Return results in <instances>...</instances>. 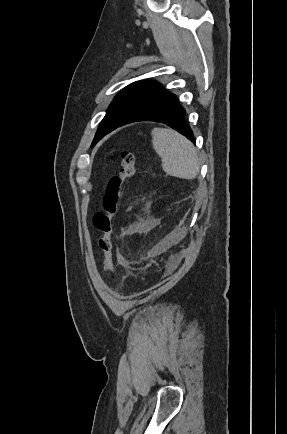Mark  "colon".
<instances>
[{"label":"colon","instance_id":"5ec220e1","mask_svg":"<svg viewBox=\"0 0 287 434\" xmlns=\"http://www.w3.org/2000/svg\"><path fill=\"white\" fill-rule=\"evenodd\" d=\"M135 157L125 151L121 155L120 169L111 177L103 195V210L94 215L93 223L100 232L98 245L103 253V270L109 274L113 269V222L120 210L125 183L135 174Z\"/></svg>","mask_w":287,"mask_h":434}]
</instances>
